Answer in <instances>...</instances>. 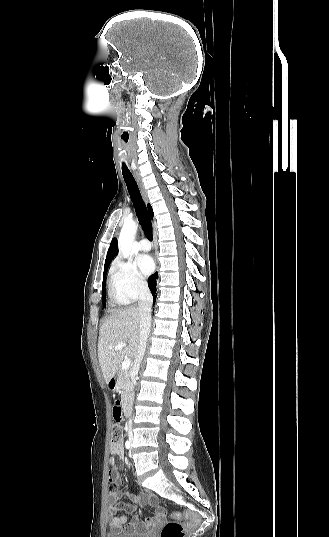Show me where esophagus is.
Instances as JSON below:
<instances>
[{
  "label": "esophagus",
  "instance_id": "1",
  "mask_svg": "<svg viewBox=\"0 0 329 537\" xmlns=\"http://www.w3.org/2000/svg\"><path fill=\"white\" fill-rule=\"evenodd\" d=\"M134 176H135V179L137 181L138 187L140 189V192H141V195H142L144 201L148 202L147 191H146V189L144 187V184H143V181H142V178H141L140 174L138 172H134Z\"/></svg>",
  "mask_w": 329,
  "mask_h": 537
}]
</instances>
